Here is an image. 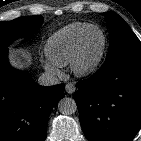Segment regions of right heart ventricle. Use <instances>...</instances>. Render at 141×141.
Segmentation results:
<instances>
[{
  "mask_svg": "<svg viewBox=\"0 0 141 141\" xmlns=\"http://www.w3.org/2000/svg\"><path fill=\"white\" fill-rule=\"evenodd\" d=\"M92 25L85 22L68 24L49 37L45 53L58 66L71 64L82 34Z\"/></svg>",
  "mask_w": 141,
  "mask_h": 141,
  "instance_id": "obj_1",
  "label": "right heart ventricle"
}]
</instances>
